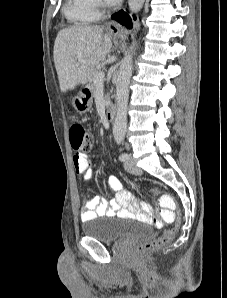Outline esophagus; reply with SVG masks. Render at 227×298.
Instances as JSON below:
<instances>
[{"mask_svg":"<svg viewBox=\"0 0 227 298\" xmlns=\"http://www.w3.org/2000/svg\"><path fill=\"white\" fill-rule=\"evenodd\" d=\"M108 28L112 32H118L120 30V25L115 21H110L108 23Z\"/></svg>","mask_w":227,"mask_h":298,"instance_id":"obj_1","label":"esophagus"}]
</instances>
